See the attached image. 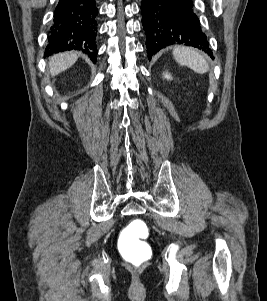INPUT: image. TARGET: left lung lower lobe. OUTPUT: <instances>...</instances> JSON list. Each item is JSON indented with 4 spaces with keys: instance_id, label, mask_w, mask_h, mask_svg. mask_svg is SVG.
<instances>
[{
    "instance_id": "0a47b994",
    "label": "left lung lower lobe",
    "mask_w": 267,
    "mask_h": 301,
    "mask_svg": "<svg viewBox=\"0 0 267 301\" xmlns=\"http://www.w3.org/2000/svg\"><path fill=\"white\" fill-rule=\"evenodd\" d=\"M141 12L149 60L171 44L194 46L213 58L192 0H142Z\"/></svg>"
}]
</instances>
